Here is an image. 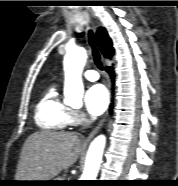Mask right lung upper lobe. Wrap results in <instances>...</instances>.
<instances>
[{"label": "right lung upper lobe", "mask_w": 178, "mask_h": 186, "mask_svg": "<svg viewBox=\"0 0 178 186\" xmlns=\"http://www.w3.org/2000/svg\"><path fill=\"white\" fill-rule=\"evenodd\" d=\"M97 44L101 53L106 58H111L114 54V49L112 47V41L108 36L105 28L100 27L96 32Z\"/></svg>", "instance_id": "obj_1"}]
</instances>
